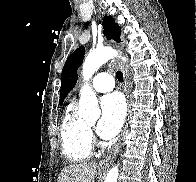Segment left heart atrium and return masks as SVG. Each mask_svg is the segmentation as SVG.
I'll return each mask as SVG.
<instances>
[{
  "mask_svg": "<svg viewBox=\"0 0 196 182\" xmlns=\"http://www.w3.org/2000/svg\"><path fill=\"white\" fill-rule=\"evenodd\" d=\"M101 118L97 130L104 139L114 138L121 130L125 116L126 106L123 97L112 93L101 99Z\"/></svg>",
  "mask_w": 196,
  "mask_h": 182,
  "instance_id": "obj_1",
  "label": "left heart atrium"
}]
</instances>
